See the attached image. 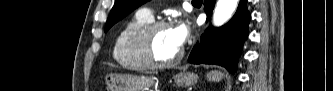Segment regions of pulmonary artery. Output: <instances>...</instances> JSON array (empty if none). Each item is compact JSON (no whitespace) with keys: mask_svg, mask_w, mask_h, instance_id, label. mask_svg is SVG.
Masks as SVG:
<instances>
[{"mask_svg":"<svg viewBox=\"0 0 333 91\" xmlns=\"http://www.w3.org/2000/svg\"><path fill=\"white\" fill-rule=\"evenodd\" d=\"M139 13L150 19L153 17V12L147 8L141 9Z\"/></svg>","mask_w":333,"mask_h":91,"instance_id":"obj_1","label":"pulmonary artery"}]
</instances>
